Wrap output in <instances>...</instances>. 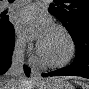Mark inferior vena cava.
Segmentation results:
<instances>
[{
    "label": "inferior vena cava",
    "mask_w": 89,
    "mask_h": 89,
    "mask_svg": "<svg viewBox=\"0 0 89 89\" xmlns=\"http://www.w3.org/2000/svg\"><path fill=\"white\" fill-rule=\"evenodd\" d=\"M24 47L25 42H20L12 55L11 66L7 72L12 78H23Z\"/></svg>",
    "instance_id": "obj_1"
}]
</instances>
